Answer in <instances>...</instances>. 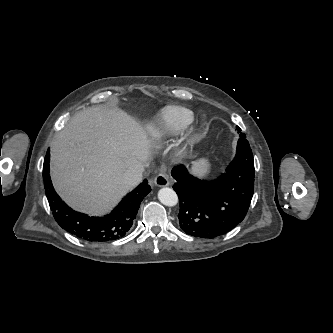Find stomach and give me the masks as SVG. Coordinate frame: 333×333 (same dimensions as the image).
I'll return each mask as SVG.
<instances>
[{"instance_id": "stomach-1", "label": "stomach", "mask_w": 333, "mask_h": 333, "mask_svg": "<svg viewBox=\"0 0 333 333\" xmlns=\"http://www.w3.org/2000/svg\"><path fill=\"white\" fill-rule=\"evenodd\" d=\"M209 168L210 165L208 161L203 158L193 162L191 171L193 174L203 177L209 172Z\"/></svg>"}]
</instances>
